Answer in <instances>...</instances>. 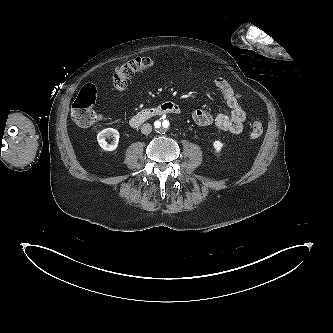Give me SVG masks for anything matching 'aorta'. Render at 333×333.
I'll return each instance as SVG.
<instances>
[{"label":"aorta","mask_w":333,"mask_h":333,"mask_svg":"<svg viewBox=\"0 0 333 333\" xmlns=\"http://www.w3.org/2000/svg\"><path fill=\"white\" fill-rule=\"evenodd\" d=\"M168 129H169V122L167 119H162L155 122V130L158 133H164Z\"/></svg>","instance_id":"762f6f07"}]
</instances>
